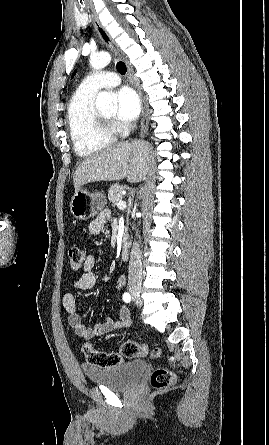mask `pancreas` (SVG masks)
<instances>
[{"label": "pancreas", "instance_id": "1", "mask_svg": "<svg viewBox=\"0 0 269 445\" xmlns=\"http://www.w3.org/2000/svg\"><path fill=\"white\" fill-rule=\"evenodd\" d=\"M124 190V187L119 184H114L110 187L108 191V199L113 204H117L119 201L123 199L122 191ZM127 238V235H124V240Z\"/></svg>", "mask_w": 269, "mask_h": 445}]
</instances>
